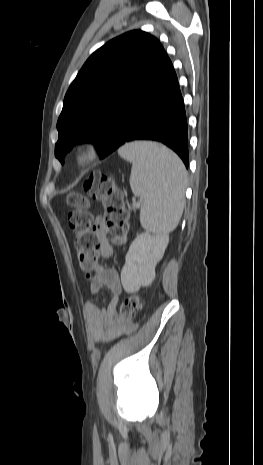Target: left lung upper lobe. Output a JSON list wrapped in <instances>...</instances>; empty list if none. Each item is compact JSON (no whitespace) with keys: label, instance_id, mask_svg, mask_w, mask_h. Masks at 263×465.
<instances>
[{"label":"left lung upper lobe","instance_id":"1","mask_svg":"<svg viewBox=\"0 0 263 465\" xmlns=\"http://www.w3.org/2000/svg\"><path fill=\"white\" fill-rule=\"evenodd\" d=\"M164 52L152 35L134 30L95 51L71 83L57 122L55 156L92 142L99 153L112 137L121 111L132 103L138 83Z\"/></svg>","mask_w":263,"mask_h":465}]
</instances>
